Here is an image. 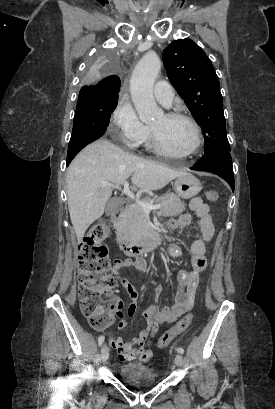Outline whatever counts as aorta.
Masks as SVG:
<instances>
[{"label": "aorta", "mask_w": 275, "mask_h": 409, "mask_svg": "<svg viewBox=\"0 0 275 409\" xmlns=\"http://www.w3.org/2000/svg\"><path fill=\"white\" fill-rule=\"evenodd\" d=\"M161 51H146L145 56L136 64L130 80V92L133 104L142 122L160 118L164 112L157 106L153 94V84L161 70Z\"/></svg>", "instance_id": "1"}]
</instances>
